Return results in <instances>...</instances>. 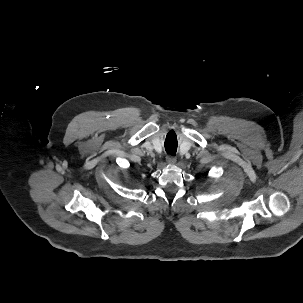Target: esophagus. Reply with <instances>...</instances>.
<instances>
[{"label": "esophagus", "mask_w": 303, "mask_h": 303, "mask_svg": "<svg viewBox=\"0 0 303 303\" xmlns=\"http://www.w3.org/2000/svg\"><path fill=\"white\" fill-rule=\"evenodd\" d=\"M167 161H168L170 164H175V163H176V157L173 156V155H168V156H167Z\"/></svg>", "instance_id": "34e87169"}]
</instances>
